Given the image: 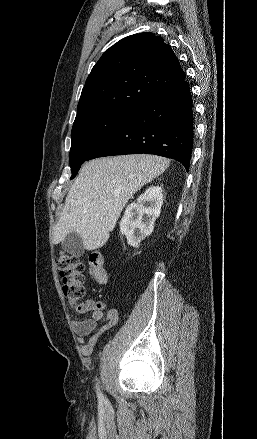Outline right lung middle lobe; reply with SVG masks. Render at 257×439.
Wrapping results in <instances>:
<instances>
[{"label": "right lung middle lobe", "instance_id": "right-lung-middle-lobe-1", "mask_svg": "<svg viewBox=\"0 0 257 439\" xmlns=\"http://www.w3.org/2000/svg\"><path fill=\"white\" fill-rule=\"evenodd\" d=\"M128 115L130 114L101 111L76 116L71 135V179L76 176L80 166L87 160L93 150Z\"/></svg>", "mask_w": 257, "mask_h": 439}]
</instances>
